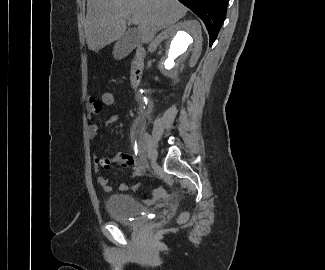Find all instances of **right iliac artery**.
Returning <instances> with one entry per match:
<instances>
[{
    "label": "right iliac artery",
    "instance_id": "82829eb1",
    "mask_svg": "<svg viewBox=\"0 0 325 270\" xmlns=\"http://www.w3.org/2000/svg\"><path fill=\"white\" fill-rule=\"evenodd\" d=\"M144 141H145V146H146V149H147V152L149 155L151 149L153 148V144H152L150 136L147 133L144 134Z\"/></svg>",
    "mask_w": 325,
    "mask_h": 270
}]
</instances>
